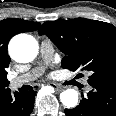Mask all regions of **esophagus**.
Listing matches in <instances>:
<instances>
[{
  "instance_id": "34e87169",
  "label": "esophagus",
  "mask_w": 116,
  "mask_h": 116,
  "mask_svg": "<svg viewBox=\"0 0 116 116\" xmlns=\"http://www.w3.org/2000/svg\"><path fill=\"white\" fill-rule=\"evenodd\" d=\"M55 91H61L63 88L61 86H59L58 84L55 83H50L49 84Z\"/></svg>"
}]
</instances>
